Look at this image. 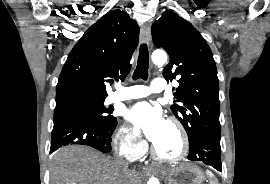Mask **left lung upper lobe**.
<instances>
[{"label": "left lung upper lobe", "instance_id": "left-lung-upper-lobe-1", "mask_svg": "<svg viewBox=\"0 0 270 184\" xmlns=\"http://www.w3.org/2000/svg\"><path fill=\"white\" fill-rule=\"evenodd\" d=\"M156 47L169 54L163 70L167 80L178 79L173 114L184 126L189 144L200 134L221 135L219 80L211 49L193 25L171 10L152 25Z\"/></svg>", "mask_w": 270, "mask_h": 184}]
</instances>
